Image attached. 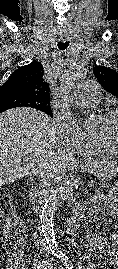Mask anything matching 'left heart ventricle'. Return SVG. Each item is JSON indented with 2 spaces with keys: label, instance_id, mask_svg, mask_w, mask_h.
<instances>
[{
  "label": "left heart ventricle",
  "instance_id": "obj_1",
  "mask_svg": "<svg viewBox=\"0 0 118 269\" xmlns=\"http://www.w3.org/2000/svg\"><path fill=\"white\" fill-rule=\"evenodd\" d=\"M92 132L95 135L106 136L118 142V115L112 119H104L102 117L95 121Z\"/></svg>",
  "mask_w": 118,
  "mask_h": 269
}]
</instances>
